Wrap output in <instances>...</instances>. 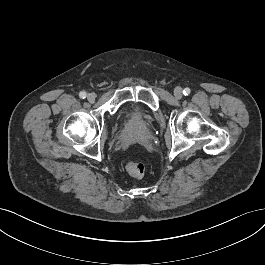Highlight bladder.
Listing matches in <instances>:
<instances>
[{
  "instance_id": "1",
  "label": "bladder",
  "mask_w": 265,
  "mask_h": 265,
  "mask_svg": "<svg viewBox=\"0 0 265 265\" xmlns=\"http://www.w3.org/2000/svg\"><path fill=\"white\" fill-rule=\"evenodd\" d=\"M129 119L134 123H141L143 121V118L139 114L131 113L129 115Z\"/></svg>"
}]
</instances>
